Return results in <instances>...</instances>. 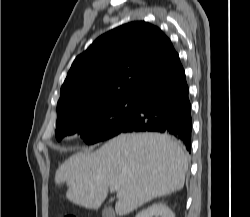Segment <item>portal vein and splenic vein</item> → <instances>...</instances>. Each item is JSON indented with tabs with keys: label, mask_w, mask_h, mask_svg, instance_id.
<instances>
[{
	"label": "portal vein and splenic vein",
	"mask_w": 250,
	"mask_h": 217,
	"mask_svg": "<svg viewBox=\"0 0 250 217\" xmlns=\"http://www.w3.org/2000/svg\"><path fill=\"white\" fill-rule=\"evenodd\" d=\"M115 188L114 187H110V192H114Z\"/></svg>",
	"instance_id": "18ae733b"
}]
</instances>
